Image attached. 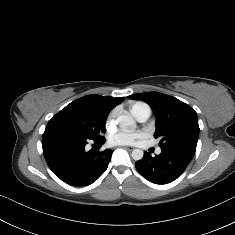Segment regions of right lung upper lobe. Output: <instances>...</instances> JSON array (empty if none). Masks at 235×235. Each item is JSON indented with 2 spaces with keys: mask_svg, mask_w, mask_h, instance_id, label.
<instances>
[{
  "mask_svg": "<svg viewBox=\"0 0 235 235\" xmlns=\"http://www.w3.org/2000/svg\"><path fill=\"white\" fill-rule=\"evenodd\" d=\"M124 100L123 97H103L101 95H87L81 97L73 102H71L68 106L80 105L86 106L89 108H93L105 113H109V111L116 105L120 104Z\"/></svg>",
  "mask_w": 235,
  "mask_h": 235,
  "instance_id": "1",
  "label": "right lung upper lobe"
}]
</instances>
